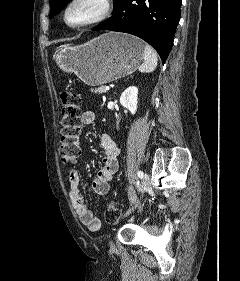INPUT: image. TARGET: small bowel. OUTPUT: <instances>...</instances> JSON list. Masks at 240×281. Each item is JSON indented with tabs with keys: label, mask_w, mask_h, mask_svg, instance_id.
Segmentation results:
<instances>
[{
	"label": "small bowel",
	"mask_w": 240,
	"mask_h": 281,
	"mask_svg": "<svg viewBox=\"0 0 240 281\" xmlns=\"http://www.w3.org/2000/svg\"><path fill=\"white\" fill-rule=\"evenodd\" d=\"M95 120L93 111H85L82 113L81 122L84 125H90ZM101 147L103 151L102 164L97 170L92 180V189L98 195H106L110 190V181L118 169L119 147L108 134H102L100 137ZM70 190L69 196L73 209L78 215L82 224L90 230L96 231L101 226V221L96 218L91 210L87 207L84 198L79 189L80 174L77 169L73 168L69 172Z\"/></svg>",
	"instance_id": "small-bowel-1"
}]
</instances>
